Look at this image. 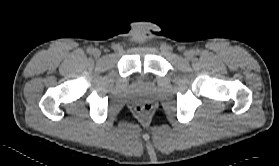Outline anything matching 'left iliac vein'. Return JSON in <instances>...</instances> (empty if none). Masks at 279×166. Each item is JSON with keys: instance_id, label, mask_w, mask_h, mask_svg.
Instances as JSON below:
<instances>
[{"instance_id": "4c4485c4", "label": "left iliac vein", "mask_w": 279, "mask_h": 166, "mask_svg": "<svg viewBox=\"0 0 279 166\" xmlns=\"http://www.w3.org/2000/svg\"><path fill=\"white\" fill-rule=\"evenodd\" d=\"M184 56H185L187 59H189V58H191V57L193 56V52H192L191 50H186V51L184 52Z\"/></svg>"}]
</instances>
